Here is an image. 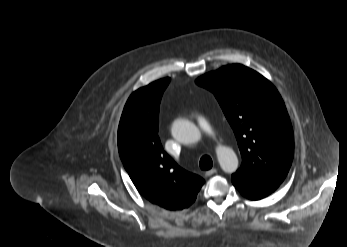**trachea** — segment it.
I'll use <instances>...</instances> for the list:
<instances>
[{
	"mask_svg": "<svg viewBox=\"0 0 347 247\" xmlns=\"http://www.w3.org/2000/svg\"><path fill=\"white\" fill-rule=\"evenodd\" d=\"M200 168L202 170H209L213 166V162L210 156L205 155L201 157L200 162H199Z\"/></svg>",
	"mask_w": 347,
	"mask_h": 247,
	"instance_id": "obj_1",
	"label": "trachea"
}]
</instances>
